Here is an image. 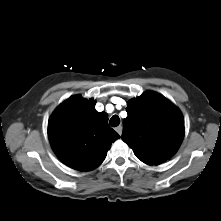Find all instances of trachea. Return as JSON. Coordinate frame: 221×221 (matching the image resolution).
I'll list each match as a JSON object with an SVG mask.
<instances>
[{
  "mask_svg": "<svg viewBox=\"0 0 221 221\" xmlns=\"http://www.w3.org/2000/svg\"><path fill=\"white\" fill-rule=\"evenodd\" d=\"M111 127H117L120 124V118L117 115H113L109 121Z\"/></svg>",
  "mask_w": 221,
  "mask_h": 221,
  "instance_id": "3493384b",
  "label": "trachea"
}]
</instances>
